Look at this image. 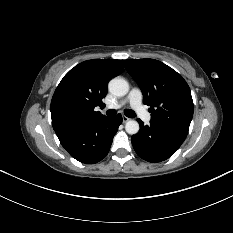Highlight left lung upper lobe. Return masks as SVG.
<instances>
[{"label": "left lung upper lobe", "instance_id": "5c2ea615", "mask_svg": "<svg viewBox=\"0 0 233 233\" xmlns=\"http://www.w3.org/2000/svg\"><path fill=\"white\" fill-rule=\"evenodd\" d=\"M150 106L151 120L188 132L193 116L190 88L171 67L154 59L122 60Z\"/></svg>", "mask_w": 233, "mask_h": 233}]
</instances>
